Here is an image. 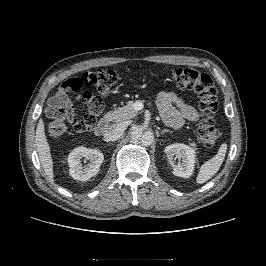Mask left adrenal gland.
Listing matches in <instances>:
<instances>
[{
	"mask_svg": "<svg viewBox=\"0 0 266 266\" xmlns=\"http://www.w3.org/2000/svg\"><path fill=\"white\" fill-rule=\"evenodd\" d=\"M166 132L171 133V131H169V130H167V129H164V130H162V131L160 132V134H164V133H166ZM157 133H159V132H157Z\"/></svg>",
	"mask_w": 266,
	"mask_h": 266,
	"instance_id": "1",
	"label": "left adrenal gland"
}]
</instances>
